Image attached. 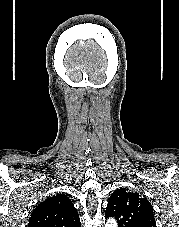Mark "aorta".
<instances>
[{"label":"aorta","mask_w":179,"mask_h":227,"mask_svg":"<svg viewBox=\"0 0 179 227\" xmlns=\"http://www.w3.org/2000/svg\"><path fill=\"white\" fill-rule=\"evenodd\" d=\"M105 227H117V223L115 219H109L106 224Z\"/></svg>","instance_id":"obj_1"}]
</instances>
